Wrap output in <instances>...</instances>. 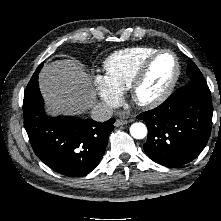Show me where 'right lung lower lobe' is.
Segmentation results:
<instances>
[{"label": "right lung lower lobe", "mask_w": 221, "mask_h": 221, "mask_svg": "<svg viewBox=\"0 0 221 221\" xmlns=\"http://www.w3.org/2000/svg\"><path fill=\"white\" fill-rule=\"evenodd\" d=\"M37 68L24 93V124L35 154L54 171L71 177L91 172L100 162L114 129L104 123L77 117H48L38 86Z\"/></svg>", "instance_id": "right-lung-lower-lobe-1"}]
</instances>
